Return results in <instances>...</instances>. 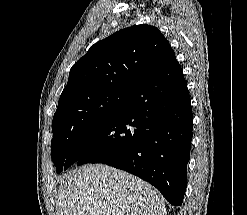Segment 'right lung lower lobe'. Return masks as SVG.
<instances>
[{"label": "right lung lower lobe", "instance_id": "1", "mask_svg": "<svg viewBox=\"0 0 247 215\" xmlns=\"http://www.w3.org/2000/svg\"><path fill=\"white\" fill-rule=\"evenodd\" d=\"M192 130L187 82L172 54L116 115L78 140L67 160L70 166L103 163L125 170L155 186L171 205L180 206Z\"/></svg>", "mask_w": 247, "mask_h": 215}]
</instances>
